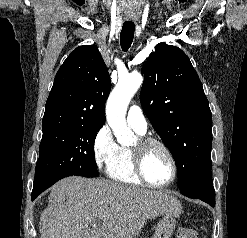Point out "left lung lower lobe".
<instances>
[{"label":"left lung lower lobe","mask_w":247,"mask_h":238,"mask_svg":"<svg viewBox=\"0 0 247 238\" xmlns=\"http://www.w3.org/2000/svg\"><path fill=\"white\" fill-rule=\"evenodd\" d=\"M195 198H199L204 202L210 204L212 207L215 206V194L213 186H209L204 194H196Z\"/></svg>","instance_id":"obj_1"}]
</instances>
